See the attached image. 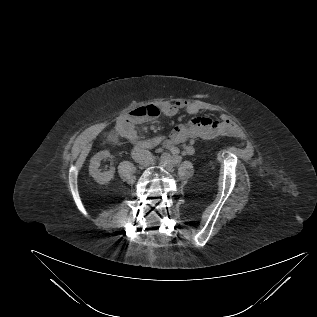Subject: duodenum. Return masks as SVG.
<instances>
[{
	"label": "duodenum",
	"mask_w": 317,
	"mask_h": 317,
	"mask_svg": "<svg viewBox=\"0 0 317 317\" xmlns=\"http://www.w3.org/2000/svg\"><path fill=\"white\" fill-rule=\"evenodd\" d=\"M124 119H125V120H128L127 118H124ZM125 120H124V121H125ZM122 136H126V135L115 131V132L110 136L109 140H110V142H111L112 144H115V143L118 141V139H119L120 137H122ZM126 137H127V136H126ZM127 138H128L135 146H137V147H139V146H149V147H153V146H156V145L159 143V141H160V138H159V137H152V138H150V139H148V140H146V141H143V142L139 141L138 139L129 138V137H127Z\"/></svg>",
	"instance_id": "1"
}]
</instances>
